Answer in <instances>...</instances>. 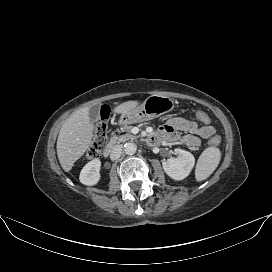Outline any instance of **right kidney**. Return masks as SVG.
Instances as JSON below:
<instances>
[{
	"mask_svg": "<svg viewBox=\"0 0 272 272\" xmlns=\"http://www.w3.org/2000/svg\"><path fill=\"white\" fill-rule=\"evenodd\" d=\"M101 161L94 159L88 162L81 170L79 180L82 184L87 186L96 185L100 180Z\"/></svg>",
	"mask_w": 272,
	"mask_h": 272,
	"instance_id": "1",
	"label": "right kidney"
}]
</instances>
